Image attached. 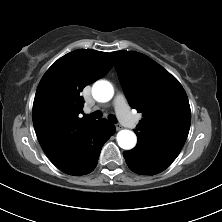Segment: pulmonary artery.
<instances>
[{
	"label": "pulmonary artery",
	"instance_id": "e3ab8cb5",
	"mask_svg": "<svg viewBox=\"0 0 222 222\" xmlns=\"http://www.w3.org/2000/svg\"><path fill=\"white\" fill-rule=\"evenodd\" d=\"M113 105L120 121L124 125L129 127H134L136 125V120L130 116L129 107L123 94L119 93L116 95ZM90 111L91 109H86V112Z\"/></svg>",
	"mask_w": 222,
	"mask_h": 222
}]
</instances>
